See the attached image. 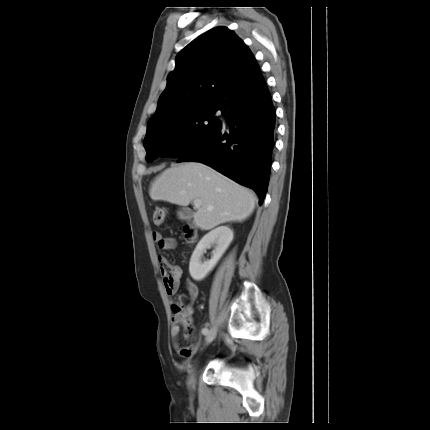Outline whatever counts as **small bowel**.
Instances as JSON below:
<instances>
[{
  "label": "small bowel",
  "instance_id": "small-bowel-1",
  "mask_svg": "<svg viewBox=\"0 0 430 430\" xmlns=\"http://www.w3.org/2000/svg\"><path fill=\"white\" fill-rule=\"evenodd\" d=\"M154 241L158 244L159 248L163 250H173L176 247V242L172 238H164L160 233L153 234ZM166 267L169 268L170 274H166ZM159 269L162 273V284L164 287V292L168 295L176 293L181 285V280L183 277V270L178 265H170L167 260L163 257H159ZM189 298L194 300L198 296V287L192 281H187L186 283ZM206 324L201 329V333L204 335V331L208 329ZM179 323L173 318V325L171 327L170 335L172 339V347L175 352L183 358L190 359L196 353L199 343L196 342L190 346L182 347L179 343Z\"/></svg>",
  "mask_w": 430,
  "mask_h": 430
}]
</instances>
